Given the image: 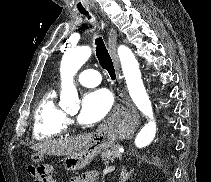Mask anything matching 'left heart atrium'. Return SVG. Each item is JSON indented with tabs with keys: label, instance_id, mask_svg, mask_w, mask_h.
Listing matches in <instances>:
<instances>
[{
	"label": "left heart atrium",
	"instance_id": "39dd6f15",
	"mask_svg": "<svg viewBox=\"0 0 211 182\" xmlns=\"http://www.w3.org/2000/svg\"><path fill=\"white\" fill-rule=\"evenodd\" d=\"M113 104L111 93L107 89L88 91L82 100L79 121L83 124H95L110 111Z\"/></svg>",
	"mask_w": 211,
	"mask_h": 182
}]
</instances>
